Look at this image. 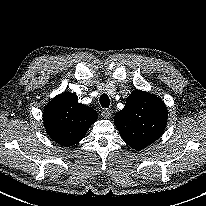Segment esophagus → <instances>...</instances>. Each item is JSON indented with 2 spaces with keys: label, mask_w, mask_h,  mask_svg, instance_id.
<instances>
[{
  "label": "esophagus",
  "mask_w": 206,
  "mask_h": 206,
  "mask_svg": "<svg viewBox=\"0 0 206 206\" xmlns=\"http://www.w3.org/2000/svg\"><path fill=\"white\" fill-rule=\"evenodd\" d=\"M101 115L103 116V118L109 119V118L112 117L113 111H112L111 109H104V110L101 112Z\"/></svg>",
  "instance_id": "obj_1"
}]
</instances>
